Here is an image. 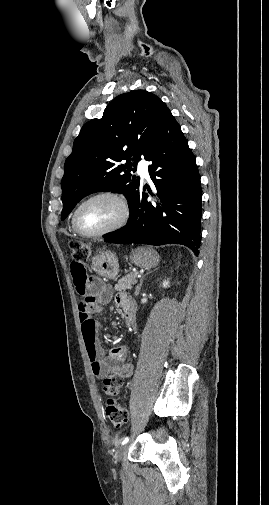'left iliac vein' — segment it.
Here are the masks:
<instances>
[{
  "label": "left iliac vein",
  "instance_id": "left-iliac-vein-1",
  "mask_svg": "<svg viewBox=\"0 0 269 505\" xmlns=\"http://www.w3.org/2000/svg\"><path fill=\"white\" fill-rule=\"evenodd\" d=\"M127 449H128V446H127V445H123V446H121V447L118 449V451H117V453H116V455H115L116 460L120 461V460L123 458V456L126 454Z\"/></svg>",
  "mask_w": 269,
  "mask_h": 505
}]
</instances>
